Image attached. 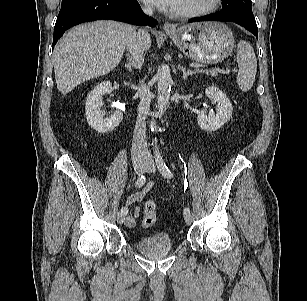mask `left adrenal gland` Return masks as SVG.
Segmentation results:
<instances>
[{
  "mask_svg": "<svg viewBox=\"0 0 307 301\" xmlns=\"http://www.w3.org/2000/svg\"><path fill=\"white\" fill-rule=\"evenodd\" d=\"M181 71H182V73H183L182 78H183L184 80H186V79L188 78L189 75H193V74L196 73V72L191 71V70H186V68L183 67V66H181Z\"/></svg>",
  "mask_w": 307,
  "mask_h": 301,
  "instance_id": "a2214340",
  "label": "left adrenal gland"
}]
</instances>
